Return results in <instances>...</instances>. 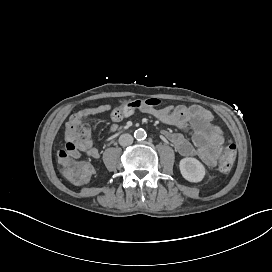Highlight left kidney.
Instances as JSON below:
<instances>
[{
  "label": "left kidney",
  "mask_w": 272,
  "mask_h": 272,
  "mask_svg": "<svg viewBox=\"0 0 272 272\" xmlns=\"http://www.w3.org/2000/svg\"><path fill=\"white\" fill-rule=\"evenodd\" d=\"M182 176L189 182H200L205 175L203 164L195 158H183L179 164Z\"/></svg>",
  "instance_id": "1"
}]
</instances>
